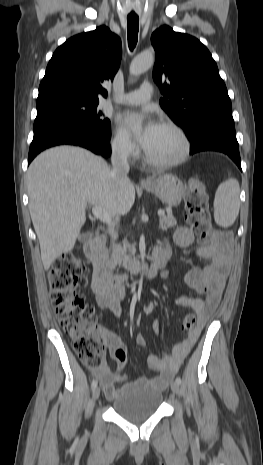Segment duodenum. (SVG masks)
Returning a JSON list of instances; mask_svg holds the SVG:
<instances>
[{"label":"duodenum","instance_id":"obj_1","mask_svg":"<svg viewBox=\"0 0 263 465\" xmlns=\"http://www.w3.org/2000/svg\"><path fill=\"white\" fill-rule=\"evenodd\" d=\"M84 252L87 259L93 266V281L96 291L111 295L119 291L123 284L129 279L127 275H113L107 259L106 252V236L99 235L85 244ZM169 259V253L163 252L154 257L152 263L144 270L142 274H137L136 277L143 276L150 280L156 277L159 270L163 268Z\"/></svg>","mask_w":263,"mask_h":465}]
</instances>
